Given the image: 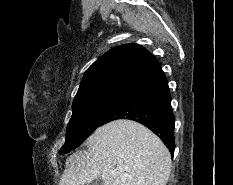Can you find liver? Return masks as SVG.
Wrapping results in <instances>:
<instances>
[{
	"mask_svg": "<svg viewBox=\"0 0 233 185\" xmlns=\"http://www.w3.org/2000/svg\"><path fill=\"white\" fill-rule=\"evenodd\" d=\"M87 150L66 159L59 185H85L101 178L103 185H166L171 157L148 128L120 119L95 130Z\"/></svg>",
	"mask_w": 233,
	"mask_h": 185,
	"instance_id": "liver-1",
	"label": "liver"
}]
</instances>
